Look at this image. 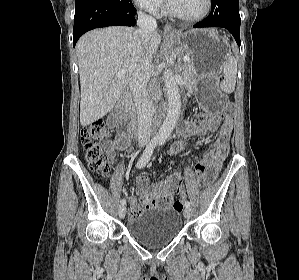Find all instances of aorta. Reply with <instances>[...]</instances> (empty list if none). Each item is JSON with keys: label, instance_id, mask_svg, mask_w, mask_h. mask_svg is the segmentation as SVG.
I'll return each mask as SVG.
<instances>
[{"label": "aorta", "instance_id": "aorta-1", "mask_svg": "<svg viewBox=\"0 0 299 280\" xmlns=\"http://www.w3.org/2000/svg\"><path fill=\"white\" fill-rule=\"evenodd\" d=\"M163 66L165 67L163 77L168 96V110L166 119L156 135V138L159 140H166L173 131L178 120L181 107L178 85L172 70L168 67V60L163 64Z\"/></svg>", "mask_w": 299, "mask_h": 280}]
</instances>
